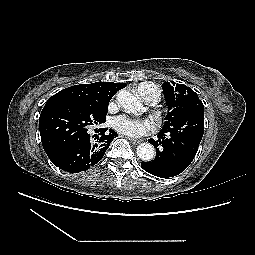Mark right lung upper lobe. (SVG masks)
<instances>
[{"instance_id":"1","label":"right lung upper lobe","mask_w":255,"mask_h":255,"mask_svg":"<svg viewBox=\"0 0 255 255\" xmlns=\"http://www.w3.org/2000/svg\"><path fill=\"white\" fill-rule=\"evenodd\" d=\"M126 83L95 82L74 85L63 89L48 99L46 105L55 102H109L114 94L126 87Z\"/></svg>"}]
</instances>
